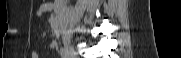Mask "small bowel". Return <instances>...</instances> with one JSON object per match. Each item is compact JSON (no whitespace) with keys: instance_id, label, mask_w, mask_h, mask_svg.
<instances>
[{"instance_id":"1","label":"small bowel","mask_w":181,"mask_h":58,"mask_svg":"<svg viewBox=\"0 0 181 58\" xmlns=\"http://www.w3.org/2000/svg\"><path fill=\"white\" fill-rule=\"evenodd\" d=\"M54 9V5L52 3H43L37 10V15L38 16H43L47 12L51 11ZM51 48L55 49L57 48V44L55 42L51 43ZM32 58H39V54L36 51H33L31 53Z\"/></svg>"}]
</instances>
